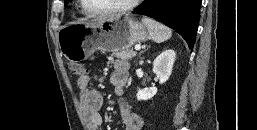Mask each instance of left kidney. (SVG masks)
Returning a JSON list of instances; mask_svg holds the SVG:
<instances>
[{
  "label": "left kidney",
  "mask_w": 257,
  "mask_h": 130,
  "mask_svg": "<svg viewBox=\"0 0 257 130\" xmlns=\"http://www.w3.org/2000/svg\"><path fill=\"white\" fill-rule=\"evenodd\" d=\"M176 53L174 50H165L162 52L153 62V72L159 78V83H165L171 73L173 64L175 62ZM157 93L156 87L145 88L143 90L139 89L137 92V100H149Z\"/></svg>",
  "instance_id": "5707ae66"
}]
</instances>
